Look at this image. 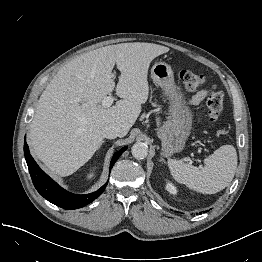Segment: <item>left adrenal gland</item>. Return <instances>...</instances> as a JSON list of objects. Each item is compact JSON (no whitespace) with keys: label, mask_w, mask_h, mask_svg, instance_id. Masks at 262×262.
I'll list each match as a JSON object with an SVG mask.
<instances>
[{"label":"left adrenal gland","mask_w":262,"mask_h":262,"mask_svg":"<svg viewBox=\"0 0 262 262\" xmlns=\"http://www.w3.org/2000/svg\"><path fill=\"white\" fill-rule=\"evenodd\" d=\"M161 161H162V162H164V163H166V161L164 160V158H163V157H161Z\"/></svg>","instance_id":"1"}]
</instances>
